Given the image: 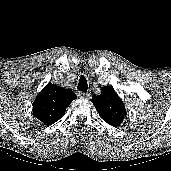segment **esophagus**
<instances>
[{
	"label": "esophagus",
	"instance_id": "1",
	"mask_svg": "<svg viewBox=\"0 0 171 171\" xmlns=\"http://www.w3.org/2000/svg\"><path fill=\"white\" fill-rule=\"evenodd\" d=\"M77 95L81 99H89L90 98V94L89 93L78 92Z\"/></svg>",
	"mask_w": 171,
	"mask_h": 171
}]
</instances>
